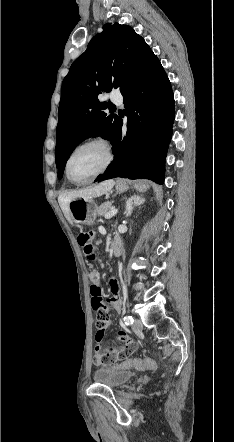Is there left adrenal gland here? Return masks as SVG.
<instances>
[{
    "mask_svg": "<svg viewBox=\"0 0 234 442\" xmlns=\"http://www.w3.org/2000/svg\"><path fill=\"white\" fill-rule=\"evenodd\" d=\"M144 202H145V198H143L139 195H134L131 198H129L126 201V210H125L126 217H128L132 214L133 208L135 206H139V205L143 204Z\"/></svg>",
    "mask_w": 234,
    "mask_h": 442,
    "instance_id": "a2214340",
    "label": "left adrenal gland"
}]
</instances>
